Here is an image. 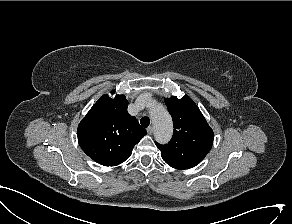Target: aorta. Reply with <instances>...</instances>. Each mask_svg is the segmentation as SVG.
Here are the masks:
<instances>
[{
    "label": "aorta",
    "mask_w": 292,
    "mask_h": 224,
    "mask_svg": "<svg viewBox=\"0 0 292 224\" xmlns=\"http://www.w3.org/2000/svg\"><path fill=\"white\" fill-rule=\"evenodd\" d=\"M150 117L154 126V136L161 144L167 143L173 133V123L168 111L158 102L150 105Z\"/></svg>",
    "instance_id": "aorta-1"
}]
</instances>
